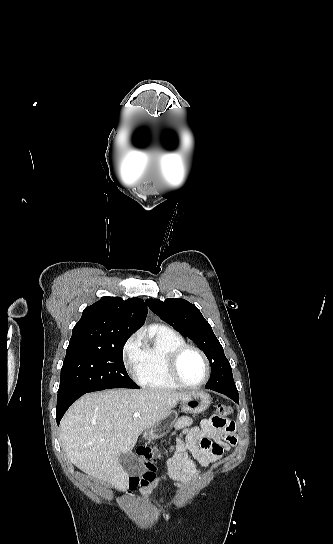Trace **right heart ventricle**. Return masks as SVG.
Here are the masks:
<instances>
[{"mask_svg": "<svg viewBox=\"0 0 333 544\" xmlns=\"http://www.w3.org/2000/svg\"><path fill=\"white\" fill-rule=\"evenodd\" d=\"M183 344H186L184 338L176 331L164 326L151 327L141 338L138 383L158 390L178 388L168 374L167 359L172 350Z\"/></svg>", "mask_w": 333, "mask_h": 544, "instance_id": "right-heart-ventricle-1", "label": "right heart ventricle"}]
</instances>
